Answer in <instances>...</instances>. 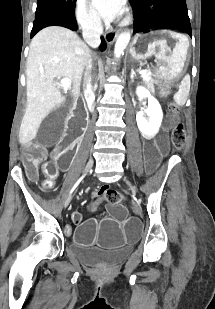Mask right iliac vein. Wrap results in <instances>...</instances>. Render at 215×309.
<instances>
[{"instance_id": "1", "label": "right iliac vein", "mask_w": 215, "mask_h": 309, "mask_svg": "<svg viewBox=\"0 0 215 309\" xmlns=\"http://www.w3.org/2000/svg\"><path fill=\"white\" fill-rule=\"evenodd\" d=\"M92 166H93V159L91 158V159H89V161H88V163H87V165L85 167L84 173L85 174L88 173L90 171V169L92 168ZM70 200H71V197L67 198V200H66V202L64 204V207H67V205H68Z\"/></svg>"}]
</instances>
